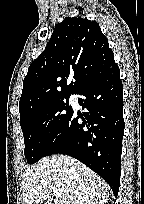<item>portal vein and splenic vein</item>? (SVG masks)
Returning <instances> with one entry per match:
<instances>
[{
    "label": "portal vein and splenic vein",
    "instance_id": "portal-vein-and-splenic-vein-1",
    "mask_svg": "<svg viewBox=\"0 0 144 204\" xmlns=\"http://www.w3.org/2000/svg\"><path fill=\"white\" fill-rule=\"evenodd\" d=\"M51 192H52V195H55V196H61L62 195V193L59 189H52Z\"/></svg>",
    "mask_w": 144,
    "mask_h": 204
}]
</instances>
